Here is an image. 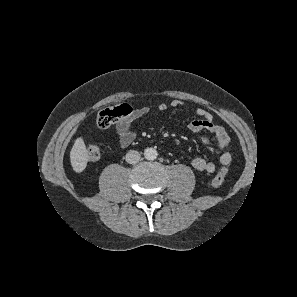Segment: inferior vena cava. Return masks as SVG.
I'll use <instances>...</instances> for the list:
<instances>
[{"label": "inferior vena cava", "mask_w": 297, "mask_h": 297, "mask_svg": "<svg viewBox=\"0 0 297 297\" xmlns=\"http://www.w3.org/2000/svg\"><path fill=\"white\" fill-rule=\"evenodd\" d=\"M140 158H141V155L136 150L128 151L127 154H126V157H125L127 163H129V164L137 163L140 160Z\"/></svg>", "instance_id": "obj_1"}]
</instances>
